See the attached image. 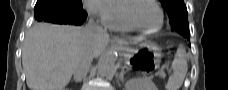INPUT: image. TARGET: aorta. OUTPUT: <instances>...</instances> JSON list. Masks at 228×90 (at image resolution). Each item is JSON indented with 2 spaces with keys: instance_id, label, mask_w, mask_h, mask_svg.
I'll return each instance as SVG.
<instances>
[{
  "instance_id": "762f6f07",
  "label": "aorta",
  "mask_w": 228,
  "mask_h": 90,
  "mask_svg": "<svg viewBox=\"0 0 228 90\" xmlns=\"http://www.w3.org/2000/svg\"><path fill=\"white\" fill-rule=\"evenodd\" d=\"M116 60L117 54L115 51L107 52L98 63V74L101 77L109 76L115 69Z\"/></svg>"
}]
</instances>
